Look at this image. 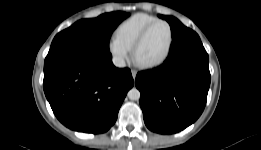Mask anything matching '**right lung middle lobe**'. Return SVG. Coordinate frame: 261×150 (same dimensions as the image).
Segmentation results:
<instances>
[{
	"label": "right lung middle lobe",
	"mask_w": 261,
	"mask_h": 150,
	"mask_svg": "<svg viewBox=\"0 0 261 150\" xmlns=\"http://www.w3.org/2000/svg\"><path fill=\"white\" fill-rule=\"evenodd\" d=\"M129 14L121 11L102 14L94 19H82L58 33L49 52L58 49L78 48L109 52V38Z\"/></svg>",
	"instance_id": "obj_1"
}]
</instances>
